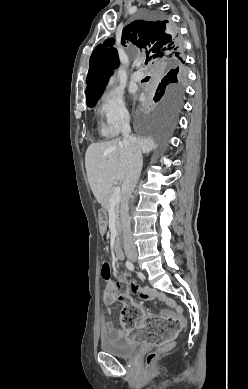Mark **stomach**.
Segmentation results:
<instances>
[{"instance_id": "0dacf381", "label": "stomach", "mask_w": 248, "mask_h": 389, "mask_svg": "<svg viewBox=\"0 0 248 389\" xmlns=\"http://www.w3.org/2000/svg\"><path fill=\"white\" fill-rule=\"evenodd\" d=\"M99 221H100V229H99V234L100 235H105L107 231V220H110V213H106V208L105 207H100L99 208Z\"/></svg>"}]
</instances>
